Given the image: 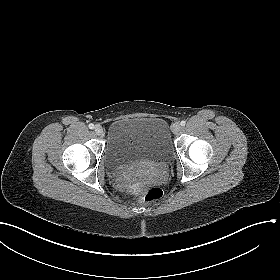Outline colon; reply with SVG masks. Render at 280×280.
<instances>
[{
	"label": "colon",
	"instance_id": "obj_1",
	"mask_svg": "<svg viewBox=\"0 0 280 280\" xmlns=\"http://www.w3.org/2000/svg\"><path fill=\"white\" fill-rule=\"evenodd\" d=\"M140 193L143 200L147 203L158 201L162 197V190L156 186L143 188Z\"/></svg>",
	"mask_w": 280,
	"mask_h": 280
}]
</instances>
